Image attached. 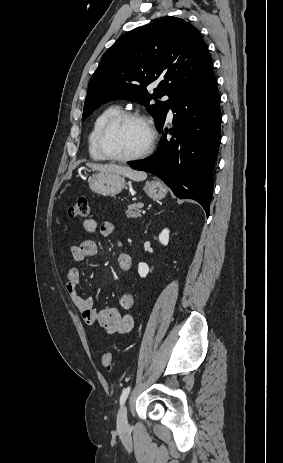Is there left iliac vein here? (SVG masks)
<instances>
[{
  "mask_svg": "<svg viewBox=\"0 0 283 463\" xmlns=\"http://www.w3.org/2000/svg\"><path fill=\"white\" fill-rule=\"evenodd\" d=\"M117 427L120 431H124L128 427V420H127V406L122 405L118 412L117 417Z\"/></svg>",
  "mask_w": 283,
  "mask_h": 463,
  "instance_id": "1",
  "label": "left iliac vein"
}]
</instances>
